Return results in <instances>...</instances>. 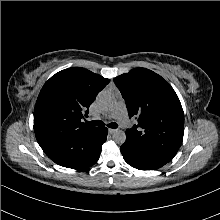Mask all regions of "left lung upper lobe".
I'll return each instance as SVG.
<instances>
[{
  "instance_id": "obj_1",
  "label": "left lung upper lobe",
  "mask_w": 220,
  "mask_h": 220,
  "mask_svg": "<svg viewBox=\"0 0 220 220\" xmlns=\"http://www.w3.org/2000/svg\"><path fill=\"white\" fill-rule=\"evenodd\" d=\"M114 82L129 117L138 120L126 130V137L173 158L183 141L184 113L170 84L145 68L132 69L114 78Z\"/></svg>"
}]
</instances>
